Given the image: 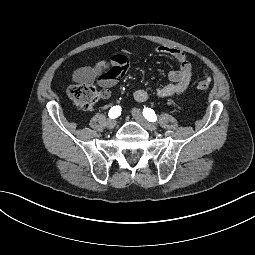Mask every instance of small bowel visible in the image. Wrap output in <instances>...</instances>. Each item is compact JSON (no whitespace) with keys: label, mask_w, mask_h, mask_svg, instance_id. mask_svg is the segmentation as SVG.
<instances>
[{"label":"small bowel","mask_w":255,"mask_h":255,"mask_svg":"<svg viewBox=\"0 0 255 255\" xmlns=\"http://www.w3.org/2000/svg\"><path fill=\"white\" fill-rule=\"evenodd\" d=\"M155 52L174 58L179 66L168 74L170 83L158 88L153 96L164 99L183 93L189 85L193 66L185 53L171 46H158ZM129 60L125 53L113 55L110 59L100 60L91 66H83L73 72L72 79L76 83L85 84L96 82L101 87L103 98L110 96V88L114 86L127 72ZM137 102L144 103L150 100L152 94L145 89H137L133 93Z\"/></svg>","instance_id":"c3829d8e"}]
</instances>
